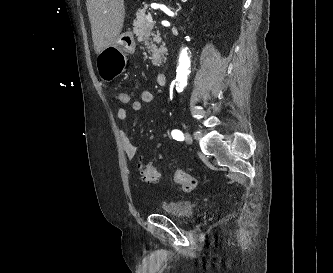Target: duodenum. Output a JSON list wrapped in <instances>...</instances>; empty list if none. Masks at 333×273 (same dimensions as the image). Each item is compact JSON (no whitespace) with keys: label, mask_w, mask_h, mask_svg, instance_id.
Returning a JSON list of instances; mask_svg holds the SVG:
<instances>
[{"label":"duodenum","mask_w":333,"mask_h":273,"mask_svg":"<svg viewBox=\"0 0 333 273\" xmlns=\"http://www.w3.org/2000/svg\"><path fill=\"white\" fill-rule=\"evenodd\" d=\"M157 84L160 87H164L167 84V74L165 72H161L157 75Z\"/></svg>","instance_id":"1"}]
</instances>
